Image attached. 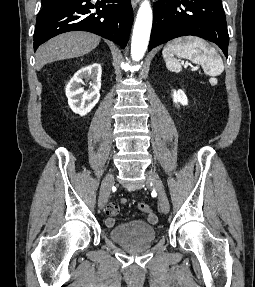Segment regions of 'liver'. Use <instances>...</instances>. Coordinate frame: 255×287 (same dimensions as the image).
Instances as JSON below:
<instances>
[{
    "mask_svg": "<svg viewBox=\"0 0 255 287\" xmlns=\"http://www.w3.org/2000/svg\"><path fill=\"white\" fill-rule=\"evenodd\" d=\"M100 42L99 36L88 34V32H68L52 38L36 52V70H41L45 64L67 60V58H79L89 54L97 48Z\"/></svg>",
    "mask_w": 255,
    "mask_h": 287,
    "instance_id": "liver-1",
    "label": "liver"
}]
</instances>
